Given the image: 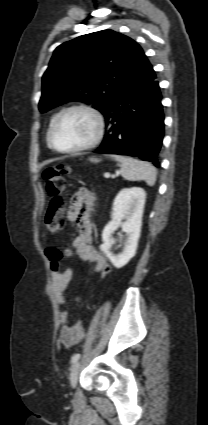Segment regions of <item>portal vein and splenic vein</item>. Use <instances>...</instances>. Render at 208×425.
Instances as JSON below:
<instances>
[{
  "label": "portal vein and splenic vein",
  "mask_w": 208,
  "mask_h": 425,
  "mask_svg": "<svg viewBox=\"0 0 208 425\" xmlns=\"http://www.w3.org/2000/svg\"><path fill=\"white\" fill-rule=\"evenodd\" d=\"M105 178H110V173H104Z\"/></svg>",
  "instance_id": "portal-vein-and-splenic-vein-1"
}]
</instances>
